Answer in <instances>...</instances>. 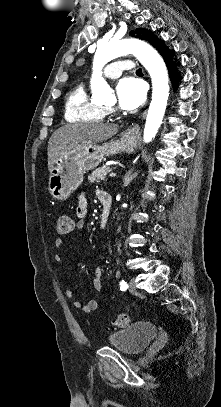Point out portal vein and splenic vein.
I'll use <instances>...</instances> for the list:
<instances>
[{
  "mask_svg": "<svg viewBox=\"0 0 221 407\" xmlns=\"http://www.w3.org/2000/svg\"><path fill=\"white\" fill-rule=\"evenodd\" d=\"M115 176H116V173L112 172V173L109 174V177H115Z\"/></svg>",
  "mask_w": 221,
  "mask_h": 407,
  "instance_id": "1",
  "label": "portal vein and splenic vein"
}]
</instances>
